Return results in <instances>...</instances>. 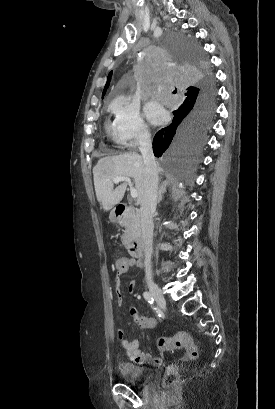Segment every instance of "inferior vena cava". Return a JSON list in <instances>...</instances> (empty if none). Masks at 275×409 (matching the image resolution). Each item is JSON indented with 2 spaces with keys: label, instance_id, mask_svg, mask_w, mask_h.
I'll use <instances>...</instances> for the list:
<instances>
[{
  "label": "inferior vena cava",
  "instance_id": "inferior-vena-cava-1",
  "mask_svg": "<svg viewBox=\"0 0 275 409\" xmlns=\"http://www.w3.org/2000/svg\"><path fill=\"white\" fill-rule=\"evenodd\" d=\"M140 152L145 164L144 194L140 207V223L142 231V241L145 249V273L148 279L152 277L151 259L153 243V215L157 205L158 190V170L155 156L152 150L150 132L140 130L139 132Z\"/></svg>",
  "mask_w": 275,
  "mask_h": 409
}]
</instances>
